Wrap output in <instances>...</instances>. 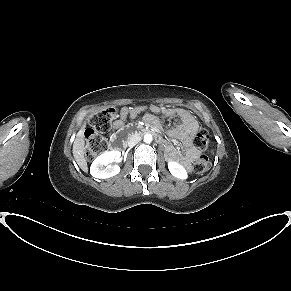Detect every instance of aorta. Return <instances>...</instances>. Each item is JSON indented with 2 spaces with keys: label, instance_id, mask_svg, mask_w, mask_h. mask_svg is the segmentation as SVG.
Returning a JSON list of instances; mask_svg holds the SVG:
<instances>
[{
  "label": "aorta",
  "instance_id": "762f6f07",
  "mask_svg": "<svg viewBox=\"0 0 291 291\" xmlns=\"http://www.w3.org/2000/svg\"><path fill=\"white\" fill-rule=\"evenodd\" d=\"M152 140H153V137H152L151 134L146 133V134L144 135V141H145L146 143H151Z\"/></svg>",
  "mask_w": 291,
  "mask_h": 291
}]
</instances>
